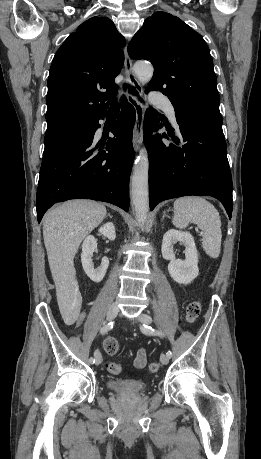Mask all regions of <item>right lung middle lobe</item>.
<instances>
[{"mask_svg": "<svg viewBox=\"0 0 261 459\" xmlns=\"http://www.w3.org/2000/svg\"><path fill=\"white\" fill-rule=\"evenodd\" d=\"M93 121L66 120L48 126L45 135L43 157L51 155L68 144L86 137Z\"/></svg>", "mask_w": 261, "mask_h": 459, "instance_id": "dd1d6c3e", "label": "right lung middle lobe"}]
</instances>
